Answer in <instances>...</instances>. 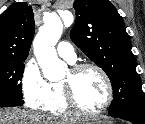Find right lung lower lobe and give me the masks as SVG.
Segmentation results:
<instances>
[{
    "label": "right lung lower lobe",
    "instance_id": "right-lung-lower-lobe-1",
    "mask_svg": "<svg viewBox=\"0 0 145 124\" xmlns=\"http://www.w3.org/2000/svg\"><path fill=\"white\" fill-rule=\"evenodd\" d=\"M24 101L22 99H5L0 100V107H12L23 105Z\"/></svg>",
    "mask_w": 145,
    "mask_h": 124
}]
</instances>
